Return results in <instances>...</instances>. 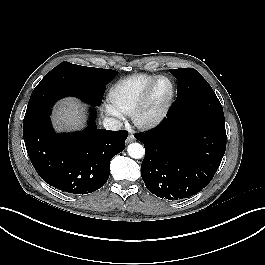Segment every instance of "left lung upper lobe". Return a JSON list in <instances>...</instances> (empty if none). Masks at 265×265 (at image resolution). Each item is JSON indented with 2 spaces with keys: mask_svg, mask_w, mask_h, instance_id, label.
<instances>
[{
  "mask_svg": "<svg viewBox=\"0 0 265 265\" xmlns=\"http://www.w3.org/2000/svg\"><path fill=\"white\" fill-rule=\"evenodd\" d=\"M178 80L177 98L168 115H198L224 122L222 106L208 82L193 68L169 70Z\"/></svg>",
  "mask_w": 265,
  "mask_h": 265,
  "instance_id": "5c2ea615",
  "label": "left lung upper lobe"
}]
</instances>
